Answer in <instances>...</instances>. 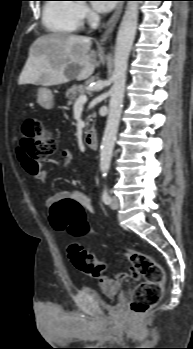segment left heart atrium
<instances>
[{"label":"left heart atrium","instance_id":"1","mask_svg":"<svg viewBox=\"0 0 193 349\" xmlns=\"http://www.w3.org/2000/svg\"><path fill=\"white\" fill-rule=\"evenodd\" d=\"M112 2H95L94 7L99 12H108L113 8Z\"/></svg>","mask_w":193,"mask_h":349}]
</instances>
